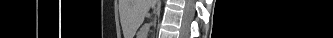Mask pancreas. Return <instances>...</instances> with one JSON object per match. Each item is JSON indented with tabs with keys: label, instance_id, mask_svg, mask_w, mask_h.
<instances>
[{
	"label": "pancreas",
	"instance_id": "obj_1",
	"mask_svg": "<svg viewBox=\"0 0 333 38\" xmlns=\"http://www.w3.org/2000/svg\"><path fill=\"white\" fill-rule=\"evenodd\" d=\"M145 29H146V28L144 27L143 30L140 31L139 34H140L141 36L144 34Z\"/></svg>",
	"mask_w": 333,
	"mask_h": 38
}]
</instances>
